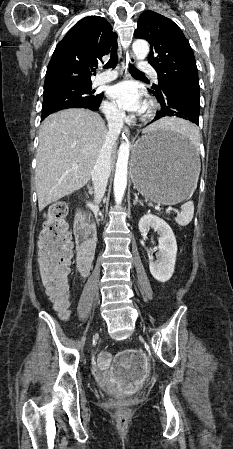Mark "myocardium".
Listing matches in <instances>:
<instances>
[{
  "label": "myocardium",
  "instance_id": "obj_1",
  "mask_svg": "<svg viewBox=\"0 0 233 449\" xmlns=\"http://www.w3.org/2000/svg\"><path fill=\"white\" fill-rule=\"evenodd\" d=\"M155 109H156L155 102L153 100L147 101L142 117L144 119L150 118L154 114Z\"/></svg>",
  "mask_w": 233,
  "mask_h": 449
}]
</instances>
